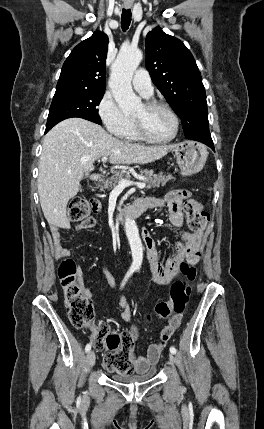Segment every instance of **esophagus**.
Listing matches in <instances>:
<instances>
[{"instance_id":"obj_1","label":"esophagus","mask_w":264,"mask_h":429,"mask_svg":"<svg viewBox=\"0 0 264 429\" xmlns=\"http://www.w3.org/2000/svg\"><path fill=\"white\" fill-rule=\"evenodd\" d=\"M124 7H125L126 9H129V8L131 7V4H130V3H125V4H124Z\"/></svg>"}]
</instances>
